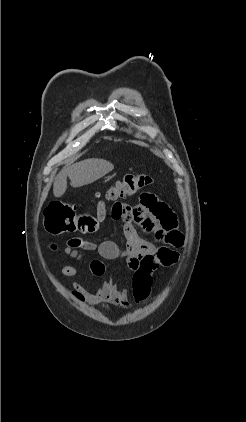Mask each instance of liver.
<instances>
[{
    "mask_svg": "<svg viewBox=\"0 0 246 422\" xmlns=\"http://www.w3.org/2000/svg\"><path fill=\"white\" fill-rule=\"evenodd\" d=\"M114 169L113 164L103 159H86L64 168L55 178L53 194L61 197L67 189V177L71 185L81 187L91 184Z\"/></svg>",
    "mask_w": 246,
    "mask_h": 422,
    "instance_id": "obj_1",
    "label": "liver"
}]
</instances>
